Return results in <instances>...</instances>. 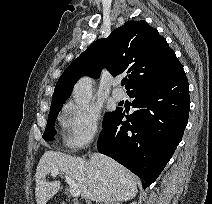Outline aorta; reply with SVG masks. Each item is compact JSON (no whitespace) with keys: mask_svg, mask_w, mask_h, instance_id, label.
I'll list each match as a JSON object with an SVG mask.
<instances>
[{"mask_svg":"<svg viewBox=\"0 0 212 204\" xmlns=\"http://www.w3.org/2000/svg\"><path fill=\"white\" fill-rule=\"evenodd\" d=\"M75 103L87 106L92 97V80L88 77L80 79L73 89Z\"/></svg>","mask_w":212,"mask_h":204,"instance_id":"obj_1","label":"aorta"}]
</instances>
